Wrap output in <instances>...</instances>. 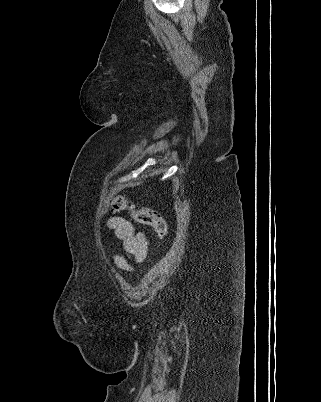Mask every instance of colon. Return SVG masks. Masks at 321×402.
<instances>
[{
  "label": "colon",
  "mask_w": 321,
  "mask_h": 402,
  "mask_svg": "<svg viewBox=\"0 0 321 402\" xmlns=\"http://www.w3.org/2000/svg\"><path fill=\"white\" fill-rule=\"evenodd\" d=\"M111 206L116 211L127 212L137 223L152 227L159 239L166 238L168 227L158 211L149 208H136L123 197H114L111 200Z\"/></svg>",
  "instance_id": "colon-1"
}]
</instances>
